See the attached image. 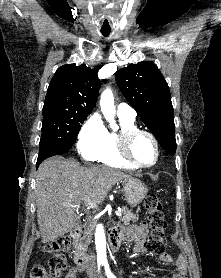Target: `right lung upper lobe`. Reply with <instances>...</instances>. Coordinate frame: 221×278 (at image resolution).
<instances>
[{
    "label": "right lung upper lobe",
    "mask_w": 221,
    "mask_h": 278,
    "mask_svg": "<svg viewBox=\"0 0 221 278\" xmlns=\"http://www.w3.org/2000/svg\"><path fill=\"white\" fill-rule=\"evenodd\" d=\"M99 89L96 68L90 69L84 64L63 65L57 69L49 84L43 113L89 115L95 107Z\"/></svg>",
    "instance_id": "right-lung-upper-lobe-1"
}]
</instances>
